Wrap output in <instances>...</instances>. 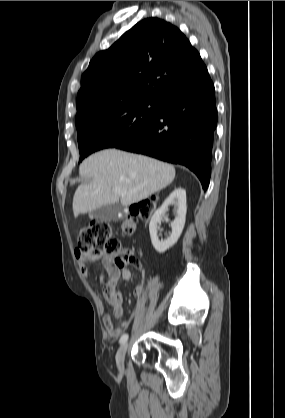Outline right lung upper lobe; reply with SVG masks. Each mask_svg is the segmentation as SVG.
<instances>
[{"label": "right lung upper lobe", "mask_w": 285, "mask_h": 418, "mask_svg": "<svg viewBox=\"0 0 285 418\" xmlns=\"http://www.w3.org/2000/svg\"><path fill=\"white\" fill-rule=\"evenodd\" d=\"M207 72L198 51L176 26L144 19L91 60L81 78L76 123L120 104H159Z\"/></svg>", "instance_id": "right-lung-upper-lobe-1"}]
</instances>
